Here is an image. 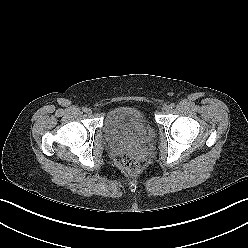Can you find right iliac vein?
Masks as SVG:
<instances>
[{
    "label": "right iliac vein",
    "instance_id": "obj_1",
    "mask_svg": "<svg viewBox=\"0 0 248 248\" xmlns=\"http://www.w3.org/2000/svg\"><path fill=\"white\" fill-rule=\"evenodd\" d=\"M86 113H87L88 115H90V114H92V110L89 108V109H87Z\"/></svg>",
    "mask_w": 248,
    "mask_h": 248
}]
</instances>
